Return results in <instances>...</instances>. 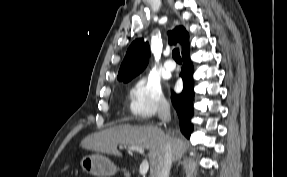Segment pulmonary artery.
I'll list each match as a JSON object with an SVG mask.
<instances>
[{
    "mask_svg": "<svg viewBox=\"0 0 287 177\" xmlns=\"http://www.w3.org/2000/svg\"><path fill=\"white\" fill-rule=\"evenodd\" d=\"M166 55H169V52H167ZM175 67H176V65H175V63H174L172 60H167V61L165 62V68H166V70H168V71H174Z\"/></svg>",
    "mask_w": 287,
    "mask_h": 177,
    "instance_id": "e3ab8cb5",
    "label": "pulmonary artery"
}]
</instances>
